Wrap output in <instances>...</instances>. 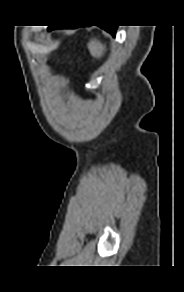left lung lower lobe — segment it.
<instances>
[{
	"instance_id": "1",
	"label": "left lung lower lobe",
	"mask_w": 184,
	"mask_h": 292,
	"mask_svg": "<svg viewBox=\"0 0 184 292\" xmlns=\"http://www.w3.org/2000/svg\"><path fill=\"white\" fill-rule=\"evenodd\" d=\"M77 26H73V27H67V28H75ZM104 30H106L107 32L111 33L112 35H115V31L117 29V26H109V27H104L101 26ZM54 28H59V27H50L49 29H54Z\"/></svg>"
}]
</instances>
